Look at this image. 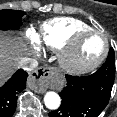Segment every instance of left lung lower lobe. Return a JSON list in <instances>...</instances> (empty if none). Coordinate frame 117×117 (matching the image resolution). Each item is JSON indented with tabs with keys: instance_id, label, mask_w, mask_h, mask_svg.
Segmentation results:
<instances>
[{
	"instance_id": "1",
	"label": "left lung lower lobe",
	"mask_w": 117,
	"mask_h": 117,
	"mask_svg": "<svg viewBox=\"0 0 117 117\" xmlns=\"http://www.w3.org/2000/svg\"><path fill=\"white\" fill-rule=\"evenodd\" d=\"M114 78L102 66L90 76L66 75V86L59 93L61 106L49 117H97L109 102Z\"/></svg>"
}]
</instances>
